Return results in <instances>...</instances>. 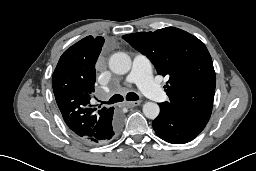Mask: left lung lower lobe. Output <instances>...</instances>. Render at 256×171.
<instances>
[{
  "label": "left lung lower lobe",
  "instance_id": "0a47b994",
  "mask_svg": "<svg viewBox=\"0 0 256 171\" xmlns=\"http://www.w3.org/2000/svg\"><path fill=\"white\" fill-rule=\"evenodd\" d=\"M160 114L152 125L156 134L172 144H184L193 140L206 126L189 112L167 103H160Z\"/></svg>",
  "mask_w": 256,
  "mask_h": 171
}]
</instances>
